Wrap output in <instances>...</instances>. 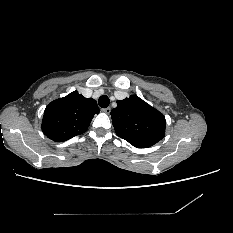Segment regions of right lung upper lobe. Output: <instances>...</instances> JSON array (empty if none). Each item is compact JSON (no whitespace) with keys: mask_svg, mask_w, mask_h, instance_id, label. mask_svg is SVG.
<instances>
[{"mask_svg":"<svg viewBox=\"0 0 233 233\" xmlns=\"http://www.w3.org/2000/svg\"><path fill=\"white\" fill-rule=\"evenodd\" d=\"M99 113L97 102L73 91L51 102L45 109L42 131L55 142H63L84 133L94 114Z\"/></svg>","mask_w":233,"mask_h":233,"instance_id":"cb5924a9","label":"right lung upper lobe"}]
</instances>
